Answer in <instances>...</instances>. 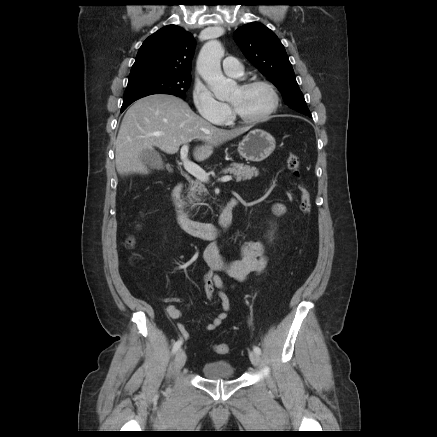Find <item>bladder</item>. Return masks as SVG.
Wrapping results in <instances>:
<instances>
[{
	"mask_svg": "<svg viewBox=\"0 0 437 437\" xmlns=\"http://www.w3.org/2000/svg\"><path fill=\"white\" fill-rule=\"evenodd\" d=\"M203 376L207 379H231L235 376V368L226 361L207 362L202 367Z\"/></svg>",
	"mask_w": 437,
	"mask_h": 437,
	"instance_id": "bladder-1",
	"label": "bladder"
}]
</instances>
